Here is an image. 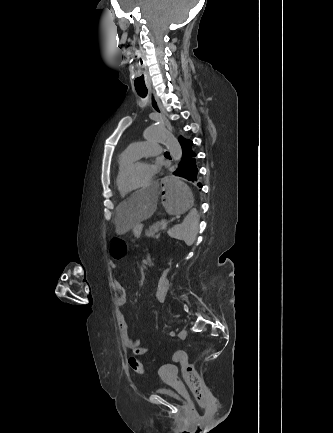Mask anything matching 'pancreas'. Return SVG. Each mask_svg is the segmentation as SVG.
<instances>
[{
	"instance_id": "cf45deb5",
	"label": "pancreas",
	"mask_w": 333,
	"mask_h": 433,
	"mask_svg": "<svg viewBox=\"0 0 333 433\" xmlns=\"http://www.w3.org/2000/svg\"><path fill=\"white\" fill-rule=\"evenodd\" d=\"M167 224L166 219H162L153 223L147 230H145V236L150 237H159L162 227Z\"/></svg>"
}]
</instances>
